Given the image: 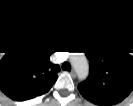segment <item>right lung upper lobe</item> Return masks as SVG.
<instances>
[{"instance_id": "right-lung-upper-lobe-1", "label": "right lung upper lobe", "mask_w": 133, "mask_h": 106, "mask_svg": "<svg viewBox=\"0 0 133 106\" xmlns=\"http://www.w3.org/2000/svg\"><path fill=\"white\" fill-rule=\"evenodd\" d=\"M59 71L49 61L45 45L27 39L12 45L1 59L0 89L12 100H29L47 93Z\"/></svg>"}]
</instances>
